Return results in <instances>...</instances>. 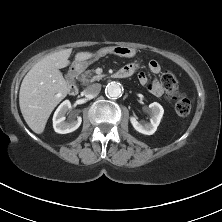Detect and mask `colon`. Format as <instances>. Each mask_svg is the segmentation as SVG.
<instances>
[{"label": "colon", "instance_id": "obj_1", "mask_svg": "<svg viewBox=\"0 0 222 222\" xmlns=\"http://www.w3.org/2000/svg\"><path fill=\"white\" fill-rule=\"evenodd\" d=\"M160 83L168 100L175 103V111L180 117L190 113L191 103L186 95L179 92L177 79L171 71H165L160 76Z\"/></svg>", "mask_w": 222, "mask_h": 222}]
</instances>
